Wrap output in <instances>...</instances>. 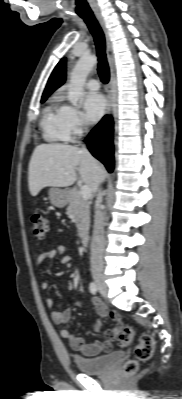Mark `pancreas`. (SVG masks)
Here are the masks:
<instances>
[{"label": "pancreas", "mask_w": 182, "mask_h": 399, "mask_svg": "<svg viewBox=\"0 0 182 399\" xmlns=\"http://www.w3.org/2000/svg\"><path fill=\"white\" fill-rule=\"evenodd\" d=\"M70 204L67 207V213L72 216L76 223L78 236L83 238L88 234L90 225V206L89 202L82 198L80 192L76 189L70 190Z\"/></svg>", "instance_id": "obj_1"}]
</instances>
